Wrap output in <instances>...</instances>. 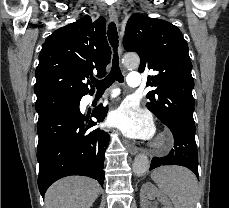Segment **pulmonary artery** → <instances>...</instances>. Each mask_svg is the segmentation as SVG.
Wrapping results in <instances>:
<instances>
[{"label": "pulmonary artery", "instance_id": "1", "mask_svg": "<svg viewBox=\"0 0 229 208\" xmlns=\"http://www.w3.org/2000/svg\"><path fill=\"white\" fill-rule=\"evenodd\" d=\"M126 82L130 87H137L141 84L142 82V75L141 73L138 72H131L127 75L126 77ZM119 94V90L118 89H111L109 91V97L110 98H114ZM93 99V97L91 98ZM101 102H105L106 99H101Z\"/></svg>", "mask_w": 229, "mask_h": 208}]
</instances>
